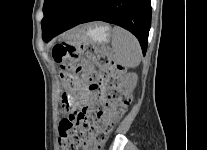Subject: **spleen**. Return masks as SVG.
<instances>
[{"label": "spleen", "mask_w": 207, "mask_h": 150, "mask_svg": "<svg viewBox=\"0 0 207 150\" xmlns=\"http://www.w3.org/2000/svg\"><path fill=\"white\" fill-rule=\"evenodd\" d=\"M114 61L124 68H135L141 62V47L138 40L127 30L115 26L112 30Z\"/></svg>", "instance_id": "spleen-1"}]
</instances>
